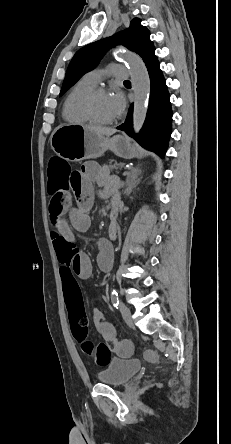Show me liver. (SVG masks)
<instances>
[{"instance_id":"obj_1","label":"liver","mask_w":231,"mask_h":444,"mask_svg":"<svg viewBox=\"0 0 231 444\" xmlns=\"http://www.w3.org/2000/svg\"><path fill=\"white\" fill-rule=\"evenodd\" d=\"M87 130H90L94 133H96L99 136H106L109 137L112 134L115 133V129L112 128H105V127H99V126H83Z\"/></svg>"}]
</instances>
